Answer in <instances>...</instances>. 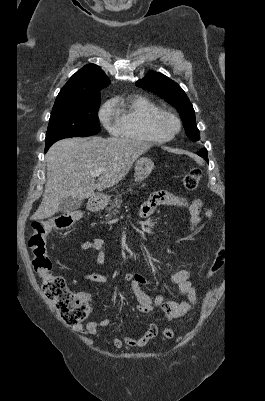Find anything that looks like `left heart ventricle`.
I'll return each mask as SVG.
<instances>
[{"mask_svg":"<svg viewBox=\"0 0 265 401\" xmlns=\"http://www.w3.org/2000/svg\"><path fill=\"white\" fill-rule=\"evenodd\" d=\"M175 124L168 119H161L156 126V134L160 138L169 137L175 130Z\"/></svg>","mask_w":265,"mask_h":401,"instance_id":"1","label":"left heart ventricle"}]
</instances>
